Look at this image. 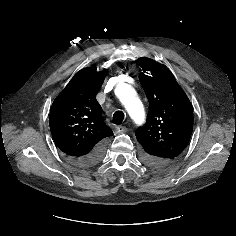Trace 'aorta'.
Segmentation results:
<instances>
[{"mask_svg":"<svg viewBox=\"0 0 236 236\" xmlns=\"http://www.w3.org/2000/svg\"><path fill=\"white\" fill-rule=\"evenodd\" d=\"M116 95L123 102L132 120L137 125H141L145 121V110L142 102L135 96L131 86L125 83L120 84L116 89Z\"/></svg>","mask_w":236,"mask_h":236,"instance_id":"obj_1","label":"aorta"}]
</instances>
